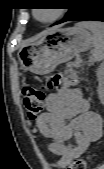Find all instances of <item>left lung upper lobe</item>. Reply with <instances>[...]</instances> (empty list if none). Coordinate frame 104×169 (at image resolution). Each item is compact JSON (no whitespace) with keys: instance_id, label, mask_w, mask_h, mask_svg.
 <instances>
[{"instance_id":"5c2ea615","label":"left lung upper lobe","mask_w":104,"mask_h":169,"mask_svg":"<svg viewBox=\"0 0 104 169\" xmlns=\"http://www.w3.org/2000/svg\"><path fill=\"white\" fill-rule=\"evenodd\" d=\"M78 1L77 0H73L72 1V8H69V11H68V13L66 14V16H65V18L66 17H68V16H70L75 10H76V8H77V6H78V3H77ZM64 18V19H65Z\"/></svg>"}]
</instances>
